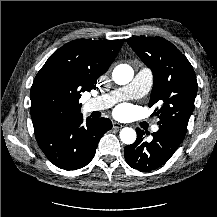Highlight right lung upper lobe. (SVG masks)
Returning a JSON list of instances; mask_svg holds the SVG:
<instances>
[{"label": "right lung upper lobe", "mask_w": 217, "mask_h": 217, "mask_svg": "<svg viewBox=\"0 0 217 217\" xmlns=\"http://www.w3.org/2000/svg\"><path fill=\"white\" fill-rule=\"evenodd\" d=\"M123 42L78 39L65 44L48 58L31 90L45 79L56 78L72 94L81 96V92L96 88L97 79L107 71Z\"/></svg>", "instance_id": "obj_1"}]
</instances>
